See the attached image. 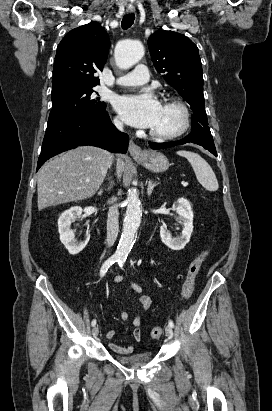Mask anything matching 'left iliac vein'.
I'll use <instances>...</instances> for the list:
<instances>
[{"instance_id": "obj_1", "label": "left iliac vein", "mask_w": 272, "mask_h": 411, "mask_svg": "<svg viewBox=\"0 0 272 411\" xmlns=\"http://www.w3.org/2000/svg\"><path fill=\"white\" fill-rule=\"evenodd\" d=\"M165 333H166V335H167L169 338H172L173 335H174L173 329H172V327L169 326V325H167V326L165 327Z\"/></svg>"}]
</instances>
